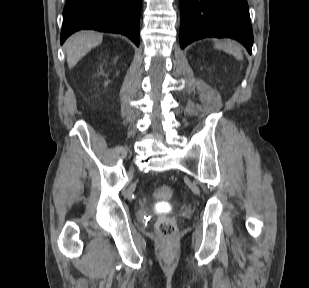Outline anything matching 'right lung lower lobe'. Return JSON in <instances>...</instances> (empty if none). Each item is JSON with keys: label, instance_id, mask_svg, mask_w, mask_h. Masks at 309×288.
<instances>
[{"label": "right lung lower lobe", "instance_id": "98d812e1", "mask_svg": "<svg viewBox=\"0 0 309 288\" xmlns=\"http://www.w3.org/2000/svg\"><path fill=\"white\" fill-rule=\"evenodd\" d=\"M142 0H67L63 11L61 44L72 33L94 29L126 35L139 46Z\"/></svg>", "mask_w": 309, "mask_h": 288}]
</instances>
